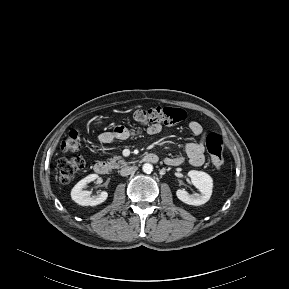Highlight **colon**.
I'll return each mask as SVG.
<instances>
[{
    "instance_id": "1",
    "label": "colon",
    "mask_w": 289,
    "mask_h": 289,
    "mask_svg": "<svg viewBox=\"0 0 289 289\" xmlns=\"http://www.w3.org/2000/svg\"><path fill=\"white\" fill-rule=\"evenodd\" d=\"M187 114L184 110L173 107H156L150 109H139L135 111L132 118L135 122L142 125L153 123H163L165 125H176L184 121ZM81 137L78 131L69 132L61 144V150L66 153L75 152L80 148ZM206 146L211 156L212 164L220 168L224 164V139L215 132H211L206 137ZM84 168L83 158L71 157L61 159L58 163V176L63 184L70 183L75 176Z\"/></svg>"
}]
</instances>
